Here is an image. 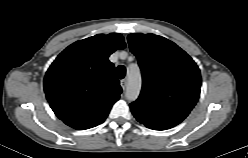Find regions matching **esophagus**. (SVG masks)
Masks as SVG:
<instances>
[{
    "label": "esophagus",
    "mask_w": 248,
    "mask_h": 158,
    "mask_svg": "<svg viewBox=\"0 0 248 158\" xmlns=\"http://www.w3.org/2000/svg\"><path fill=\"white\" fill-rule=\"evenodd\" d=\"M120 84H121V87L123 88V90H125L126 87H127V80L126 79H122L121 82H120Z\"/></svg>",
    "instance_id": "esophagus-1"
}]
</instances>
